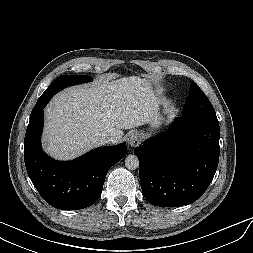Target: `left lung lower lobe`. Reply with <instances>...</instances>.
Segmentation results:
<instances>
[{"label":"left lung lower lobe","mask_w":253,"mask_h":253,"mask_svg":"<svg viewBox=\"0 0 253 253\" xmlns=\"http://www.w3.org/2000/svg\"><path fill=\"white\" fill-rule=\"evenodd\" d=\"M216 115L176 118L167 136L153 137L137 147L140 183L153 205L178 207L196 201L216 172L219 147Z\"/></svg>","instance_id":"obj_1"}]
</instances>
